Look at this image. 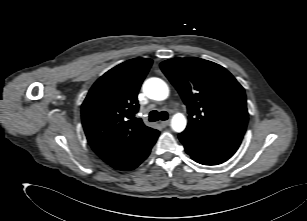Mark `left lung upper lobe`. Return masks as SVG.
I'll return each mask as SVG.
<instances>
[{"label": "left lung upper lobe", "instance_id": "obj_1", "mask_svg": "<svg viewBox=\"0 0 307 221\" xmlns=\"http://www.w3.org/2000/svg\"><path fill=\"white\" fill-rule=\"evenodd\" d=\"M160 67L187 105V128L242 140L248 122L246 95L224 67L196 57L169 59Z\"/></svg>", "mask_w": 307, "mask_h": 221}]
</instances>
